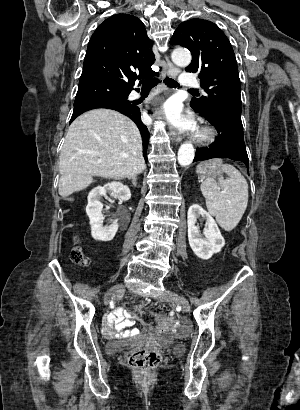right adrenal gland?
<instances>
[{
	"instance_id": "2a0ac1e0",
	"label": "right adrenal gland",
	"mask_w": 300,
	"mask_h": 410,
	"mask_svg": "<svg viewBox=\"0 0 300 410\" xmlns=\"http://www.w3.org/2000/svg\"><path fill=\"white\" fill-rule=\"evenodd\" d=\"M129 180H132V184L136 187L137 186V177L133 176V177H129Z\"/></svg>"
}]
</instances>
